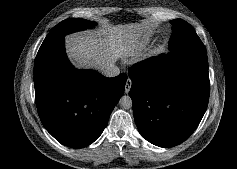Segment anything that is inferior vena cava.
<instances>
[{
    "mask_svg": "<svg viewBox=\"0 0 237 169\" xmlns=\"http://www.w3.org/2000/svg\"><path fill=\"white\" fill-rule=\"evenodd\" d=\"M101 73L105 77H115L120 74V69L118 66L114 64H108L103 68Z\"/></svg>",
    "mask_w": 237,
    "mask_h": 169,
    "instance_id": "1",
    "label": "inferior vena cava"
}]
</instances>
